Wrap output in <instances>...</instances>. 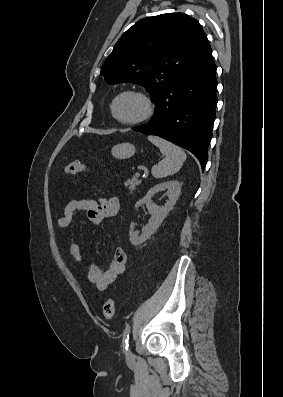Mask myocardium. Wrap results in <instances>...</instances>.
<instances>
[{"mask_svg":"<svg viewBox=\"0 0 283 397\" xmlns=\"http://www.w3.org/2000/svg\"><path fill=\"white\" fill-rule=\"evenodd\" d=\"M124 95H135L143 101L144 112L140 117H138L136 119H132V120H123L117 116L116 111H115V106H116L117 101ZM110 109H111V114H112L113 118L117 122H119L120 124H123V125L133 126V125L141 124V123L147 121L148 119H150L154 113L155 107H154V103H153L152 99L150 98V96L147 93H145L144 91L139 90V89H127V90L119 92L113 98L111 105H110Z\"/></svg>","mask_w":283,"mask_h":397,"instance_id":"f54148a6","label":"myocardium"}]
</instances>
